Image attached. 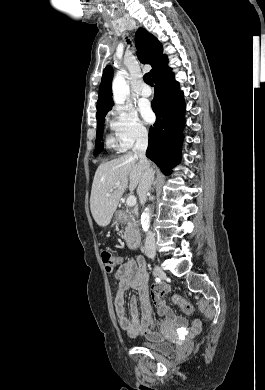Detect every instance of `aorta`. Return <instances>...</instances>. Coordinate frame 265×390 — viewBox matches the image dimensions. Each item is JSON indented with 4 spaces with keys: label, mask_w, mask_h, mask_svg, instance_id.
Wrapping results in <instances>:
<instances>
[{
    "label": "aorta",
    "mask_w": 265,
    "mask_h": 390,
    "mask_svg": "<svg viewBox=\"0 0 265 390\" xmlns=\"http://www.w3.org/2000/svg\"><path fill=\"white\" fill-rule=\"evenodd\" d=\"M125 70L119 71L112 83L113 99L117 104H123L130 93L129 85L125 80ZM150 209L146 208L141 215V226L143 231H148L150 227Z\"/></svg>",
    "instance_id": "762f6f07"
}]
</instances>
